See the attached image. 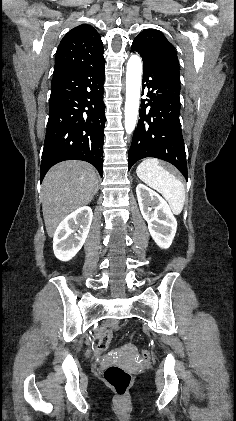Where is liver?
I'll use <instances>...</instances> for the list:
<instances>
[{
    "mask_svg": "<svg viewBox=\"0 0 236 421\" xmlns=\"http://www.w3.org/2000/svg\"><path fill=\"white\" fill-rule=\"evenodd\" d=\"M98 174L84 160H63L48 170L41 190L44 223L48 237L67 215L86 206L96 194Z\"/></svg>",
    "mask_w": 236,
    "mask_h": 421,
    "instance_id": "obj_1",
    "label": "liver"
}]
</instances>
